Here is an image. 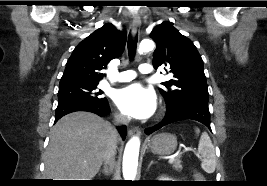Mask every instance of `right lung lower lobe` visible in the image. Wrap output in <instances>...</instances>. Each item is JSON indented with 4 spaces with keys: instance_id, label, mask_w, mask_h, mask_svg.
Returning a JSON list of instances; mask_svg holds the SVG:
<instances>
[{
    "instance_id": "1",
    "label": "right lung lower lobe",
    "mask_w": 267,
    "mask_h": 186,
    "mask_svg": "<svg viewBox=\"0 0 267 186\" xmlns=\"http://www.w3.org/2000/svg\"><path fill=\"white\" fill-rule=\"evenodd\" d=\"M76 111H88L95 113L99 116H104L105 114H108L110 112V107L107 101H94L83 98H71L61 100L59 101L56 109L55 122L58 121L64 115ZM118 131L120 132L122 138L125 139L126 127H118Z\"/></svg>"
}]
</instances>
